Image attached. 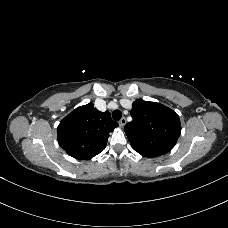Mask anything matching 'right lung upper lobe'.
Returning <instances> with one entry per match:
<instances>
[{
	"label": "right lung upper lobe",
	"mask_w": 228,
	"mask_h": 228,
	"mask_svg": "<svg viewBox=\"0 0 228 228\" xmlns=\"http://www.w3.org/2000/svg\"><path fill=\"white\" fill-rule=\"evenodd\" d=\"M118 126L110 112H101L92 103L67 115L57 128L59 145L76 159H90L105 149L109 133Z\"/></svg>",
	"instance_id": "right-lung-upper-lobe-1"
}]
</instances>
